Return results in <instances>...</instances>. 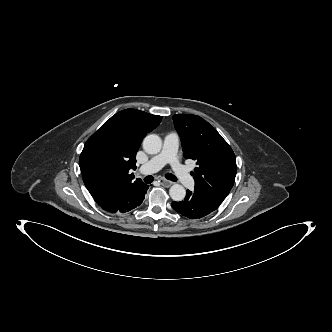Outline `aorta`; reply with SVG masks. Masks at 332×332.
Wrapping results in <instances>:
<instances>
[{
	"label": "aorta",
	"mask_w": 332,
	"mask_h": 332,
	"mask_svg": "<svg viewBox=\"0 0 332 332\" xmlns=\"http://www.w3.org/2000/svg\"><path fill=\"white\" fill-rule=\"evenodd\" d=\"M162 148V140L156 134H149L143 140V149L148 154H157ZM169 194L174 201H182L186 196L185 188L180 184H174L169 189Z\"/></svg>",
	"instance_id": "1"
}]
</instances>
